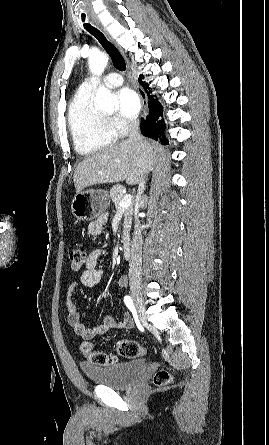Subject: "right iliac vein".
<instances>
[{
  "label": "right iliac vein",
  "mask_w": 269,
  "mask_h": 445,
  "mask_svg": "<svg viewBox=\"0 0 269 445\" xmlns=\"http://www.w3.org/2000/svg\"><path fill=\"white\" fill-rule=\"evenodd\" d=\"M131 296L134 300L136 309L139 313L140 319L143 323L146 322V316H145V302L141 293L140 288L133 287L131 289Z\"/></svg>",
  "instance_id": "63e3f726"
}]
</instances>
